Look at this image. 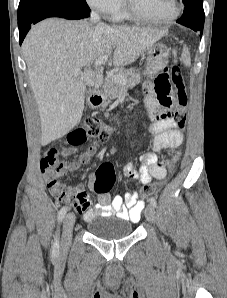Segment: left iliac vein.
I'll return each mask as SVG.
<instances>
[{
	"label": "left iliac vein",
	"mask_w": 227,
	"mask_h": 298,
	"mask_svg": "<svg viewBox=\"0 0 227 298\" xmlns=\"http://www.w3.org/2000/svg\"><path fill=\"white\" fill-rule=\"evenodd\" d=\"M144 213L147 221H149L150 223H155L156 213L152 204L147 205Z\"/></svg>",
	"instance_id": "1"
}]
</instances>
